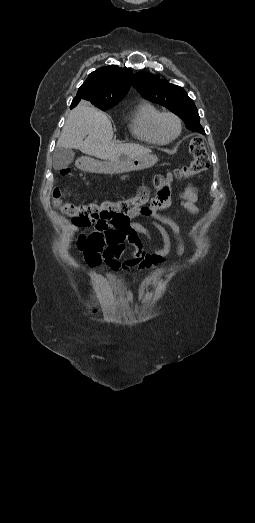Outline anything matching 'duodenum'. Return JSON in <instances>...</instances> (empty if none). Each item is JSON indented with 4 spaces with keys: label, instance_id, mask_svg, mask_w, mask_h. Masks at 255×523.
Masks as SVG:
<instances>
[{
    "label": "duodenum",
    "instance_id": "obj_1",
    "mask_svg": "<svg viewBox=\"0 0 255 523\" xmlns=\"http://www.w3.org/2000/svg\"><path fill=\"white\" fill-rule=\"evenodd\" d=\"M80 167L87 170L91 167V161L87 158L81 159L80 161Z\"/></svg>",
    "mask_w": 255,
    "mask_h": 523
}]
</instances>
